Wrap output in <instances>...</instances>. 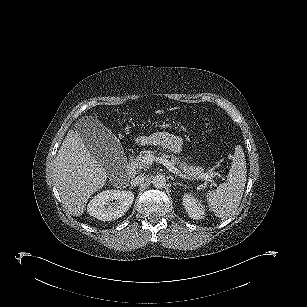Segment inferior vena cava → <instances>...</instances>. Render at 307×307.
I'll return each instance as SVG.
<instances>
[{
  "label": "inferior vena cava",
  "mask_w": 307,
  "mask_h": 307,
  "mask_svg": "<svg viewBox=\"0 0 307 307\" xmlns=\"http://www.w3.org/2000/svg\"><path fill=\"white\" fill-rule=\"evenodd\" d=\"M144 182V177L143 176H137L131 180V185L136 186Z\"/></svg>",
  "instance_id": "602c4592"
}]
</instances>
